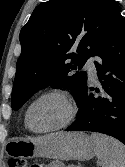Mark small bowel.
Segmentation results:
<instances>
[{"mask_svg":"<svg viewBox=\"0 0 125 167\" xmlns=\"http://www.w3.org/2000/svg\"><path fill=\"white\" fill-rule=\"evenodd\" d=\"M40 167H58L56 165V162H50L48 164H45V165H39Z\"/></svg>","mask_w":125,"mask_h":167,"instance_id":"obj_1","label":"small bowel"}]
</instances>
